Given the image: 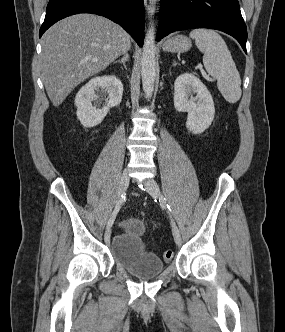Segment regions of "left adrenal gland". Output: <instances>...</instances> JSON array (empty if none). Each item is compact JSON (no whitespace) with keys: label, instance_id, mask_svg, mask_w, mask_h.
I'll list each match as a JSON object with an SVG mask.
<instances>
[{"label":"left adrenal gland","instance_id":"1","mask_svg":"<svg viewBox=\"0 0 285 332\" xmlns=\"http://www.w3.org/2000/svg\"><path fill=\"white\" fill-rule=\"evenodd\" d=\"M174 65H177V63H176L175 61H173V66H174Z\"/></svg>","mask_w":285,"mask_h":332}]
</instances>
